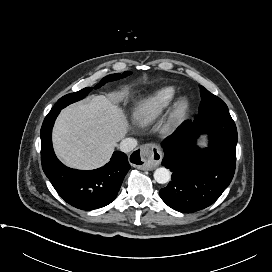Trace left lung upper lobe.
<instances>
[{
  "label": "left lung upper lobe",
  "instance_id": "1",
  "mask_svg": "<svg viewBox=\"0 0 272 272\" xmlns=\"http://www.w3.org/2000/svg\"><path fill=\"white\" fill-rule=\"evenodd\" d=\"M200 93L202 101L199 107V114H204L215 110L228 109L223 100L210 93L203 86H200Z\"/></svg>",
  "mask_w": 272,
  "mask_h": 272
}]
</instances>
